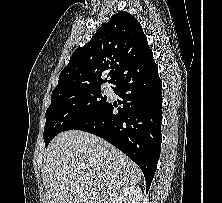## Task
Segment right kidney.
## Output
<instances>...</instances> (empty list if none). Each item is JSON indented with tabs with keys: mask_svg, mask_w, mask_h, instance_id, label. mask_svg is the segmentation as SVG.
<instances>
[{
	"mask_svg": "<svg viewBox=\"0 0 222 203\" xmlns=\"http://www.w3.org/2000/svg\"><path fill=\"white\" fill-rule=\"evenodd\" d=\"M142 191L139 186L131 185L124 188L106 203H140Z\"/></svg>",
	"mask_w": 222,
	"mask_h": 203,
	"instance_id": "right-kidney-1",
	"label": "right kidney"
}]
</instances>
